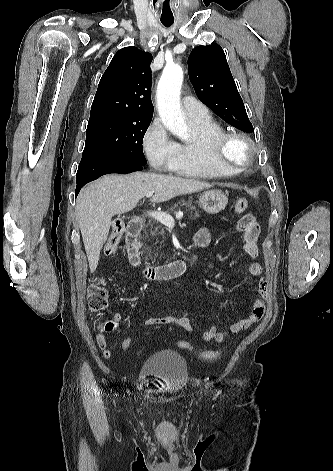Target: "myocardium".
Masks as SVG:
<instances>
[{"label":"myocardium","instance_id":"myocardium-1","mask_svg":"<svg viewBox=\"0 0 333 471\" xmlns=\"http://www.w3.org/2000/svg\"><path fill=\"white\" fill-rule=\"evenodd\" d=\"M238 145L243 150V158L234 160L229 156L231 146ZM253 144L249 138L237 133H224L213 145V157L222 167L241 171L247 168L252 159Z\"/></svg>","mask_w":333,"mask_h":471}]
</instances>
